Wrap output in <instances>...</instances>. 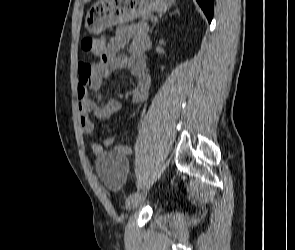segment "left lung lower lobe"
<instances>
[{
  "label": "left lung lower lobe",
  "instance_id": "obj_1",
  "mask_svg": "<svg viewBox=\"0 0 295 250\" xmlns=\"http://www.w3.org/2000/svg\"><path fill=\"white\" fill-rule=\"evenodd\" d=\"M202 10L204 11L209 22L212 20L213 15V2L214 0H196Z\"/></svg>",
  "mask_w": 295,
  "mask_h": 250
}]
</instances>
